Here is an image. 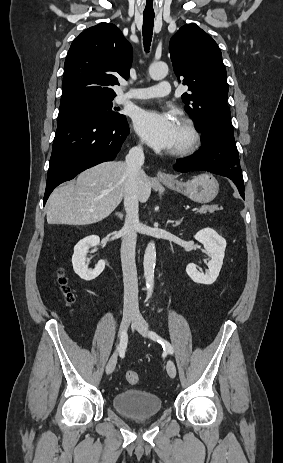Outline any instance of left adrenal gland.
<instances>
[{
  "instance_id": "a2214340",
  "label": "left adrenal gland",
  "mask_w": 283,
  "mask_h": 463,
  "mask_svg": "<svg viewBox=\"0 0 283 463\" xmlns=\"http://www.w3.org/2000/svg\"><path fill=\"white\" fill-rule=\"evenodd\" d=\"M183 219H184V218H181V219L178 220V221H172V220H171L170 222L172 223L173 227H176V226L180 225V224L183 222Z\"/></svg>"
}]
</instances>
